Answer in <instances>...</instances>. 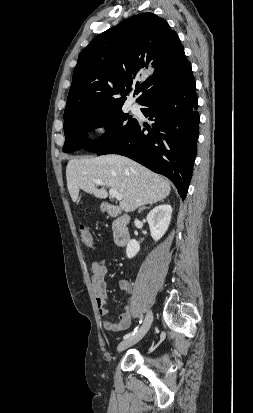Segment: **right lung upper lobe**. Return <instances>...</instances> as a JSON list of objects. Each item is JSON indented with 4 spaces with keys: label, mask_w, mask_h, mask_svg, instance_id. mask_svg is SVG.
<instances>
[{
    "label": "right lung upper lobe",
    "mask_w": 253,
    "mask_h": 413,
    "mask_svg": "<svg viewBox=\"0 0 253 413\" xmlns=\"http://www.w3.org/2000/svg\"><path fill=\"white\" fill-rule=\"evenodd\" d=\"M191 71L179 37L165 19L152 13L130 17L99 34L79 54L64 123L80 114L122 107L133 85L140 104L180 84Z\"/></svg>",
    "instance_id": "obj_1"
}]
</instances>
